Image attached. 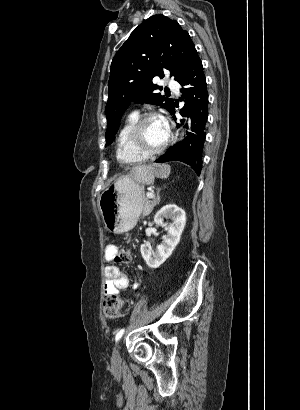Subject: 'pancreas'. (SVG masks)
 Segmentation results:
<instances>
[{"instance_id":"obj_1","label":"pancreas","mask_w":300,"mask_h":410,"mask_svg":"<svg viewBox=\"0 0 300 410\" xmlns=\"http://www.w3.org/2000/svg\"><path fill=\"white\" fill-rule=\"evenodd\" d=\"M154 205H155L154 201H150L148 199H145L144 203H143V208H142L143 216L149 215L151 213V211L153 210Z\"/></svg>"}]
</instances>
